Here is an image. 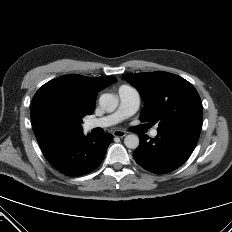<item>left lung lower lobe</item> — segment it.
<instances>
[{
	"mask_svg": "<svg viewBox=\"0 0 232 232\" xmlns=\"http://www.w3.org/2000/svg\"><path fill=\"white\" fill-rule=\"evenodd\" d=\"M200 131L201 128L194 126H176L157 129L154 139L141 134L133 157L150 172L169 173L187 161L198 142Z\"/></svg>",
	"mask_w": 232,
	"mask_h": 232,
	"instance_id": "left-lung-lower-lobe-1",
	"label": "left lung lower lobe"
}]
</instances>
